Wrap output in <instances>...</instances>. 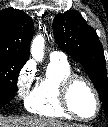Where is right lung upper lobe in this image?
Masks as SVG:
<instances>
[{"label":"right lung upper lobe","instance_id":"right-lung-upper-lobe-1","mask_svg":"<svg viewBox=\"0 0 108 127\" xmlns=\"http://www.w3.org/2000/svg\"><path fill=\"white\" fill-rule=\"evenodd\" d=\"M33 33V21L25 12L13 8L0 11V54L27 61Z\"/></svg>","mask_w":108,"mask_h":127}]
</instances>
